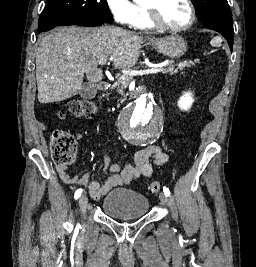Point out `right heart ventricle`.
<instances>
[{"mask_svg": "<svg viewBox=\"0 0 256 267\" xmlns=\"http://www.w3.org/2000/svg\"><path fill=\"white\" fill-rule=\"evenodd\" d=\"M137 7L142 11L144 15L146 9V0H137L136 1Z\"/></svg>", "mask_w": 256, "mask_h": 267, "instance_id": "obj_1", "label": "right heart ventricle"}]
</instances>
